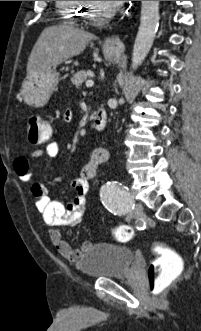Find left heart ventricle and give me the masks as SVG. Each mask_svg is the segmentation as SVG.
<instances>
[{"instance_id": "b2bd125f", "label": "left heart ventricle", "mask_w": 201, "mask_h": 331, "mask_svg": "<svg viewBox=\"0 0 201 331\" xmlns=\"http://www.w3.org/2000/svg\"><path fill=\"white\" fill-rule=\"evenodd\" d=\"M95 8L93 9V14L95 16L102 14L103 12L111 9V7L107 3H103L102 1H94Z\"/></svg>"}]
</instances>
